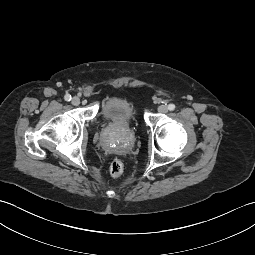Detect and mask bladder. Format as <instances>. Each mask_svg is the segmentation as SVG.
Here are the masks:
<instances>
[{
	"label": "bladder",
	"instance_id": "bladder-1",
	"mask_svg": "<svg viewBox=\"0 0 255 255\" xmlns=\"http://www.w3.org/2000/svg\"><path fill=\"white\" fill-rule=\"evenodd\" d=\"M100 117L108 124L127 126L137 121L138 112L130 99L122 96H112L102 103Z\"/></svg>",
	"mask_w": 255,
	"mask_h": 255
}]
</instances>
